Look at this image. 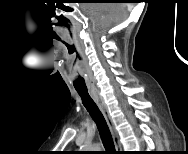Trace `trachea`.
Returning <instances> with one entry per match:
<instances>
[{
    "label": "trachea",
    "instance_id": "obj_1",
    "mask_svg": "<svg viewBox=\"0 0 188 154\" xmlns=\"http://www.w3.org/2000/svg\"><path fill=\"white\" fill-rule=\"evenodd\" d=\"M77 92L82 98L83 105L85 106V108L87 109V111L89 112V114L91 115V117L97 125L103 145L105 147L104 152L106 154H116L117 151L115 150L112 135L102 112L100 111L94 100L91 98L87 90H77Z\"/></svg>",
    "mask_w": 188,
    "mask_h": 154
}]
</instances>
